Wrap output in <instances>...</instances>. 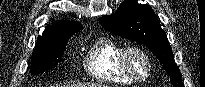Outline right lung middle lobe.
I'll return each instance as SVG.
<instances>
[{"label":"right lung middle lobe","mask_w":205,"mask_h":87,"mask_svg":"<svg viewBox=\"0 0 205 87\" xmlns=\"http://www.w3.org/2000/svg\"><path fill=\"white\" fill-rule=\"evenodd\" d=\"M68 38L37 42L32 52L31 73L37 75L56 67L64 54Z\"/></svg>","instance_id":"dd1d6c3e"}]
</instances>
